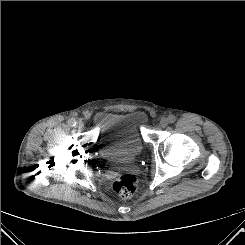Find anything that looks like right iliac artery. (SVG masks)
Masks as SVG:
<instances>
[{
  "label": "right iliac artery",
  "instance_id": "1",
  "mask_svg": "<svg viewBox=\"0 0 245 245\" xmlns=\"http://www.w3.org/2000/svg\"><path fill=\"white\" fill-rule=\"evenodd\" d=\"M68 125L71 126V127L75 126L76 125V120L74 118L69 119L68 120Z\"/></svg>",
  "mask_w": 245,
  "mask_h": 245
}]
</instances>
